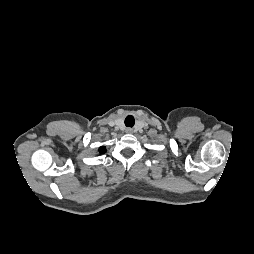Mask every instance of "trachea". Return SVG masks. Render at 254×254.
I'll use <instances>...</instances> for the list:
<instances>
[{
    "mask_svg": "<svg viewBox=\"0 0 254 254\" xmlns=\"http://www.w3.org/2000/svg\"><path fill=\"white\" fill-rule=\"evenodd\" d=\"M134 124H135V120H134L133 116H131V115L127 116L125 119V125L127 127H133Z\"/></svg>",
    "mask_w": 254,
    "mask_h": 254,
    "instance_id": "obj_1",
    "label": "trachea"
}]
</instances>
